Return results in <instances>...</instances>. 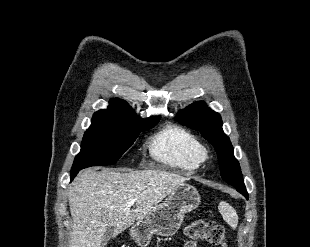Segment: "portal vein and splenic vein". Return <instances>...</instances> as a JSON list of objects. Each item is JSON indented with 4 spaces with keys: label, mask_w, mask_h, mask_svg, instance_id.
Wrapping results in <instances>:
<instances>
[{
    "label": "portal vein and splenic vein",
    "mask_w": 310,
    "mask_h": 247,
    "mask_svg": "<svg viewBox=\"0 0 310 247\" xmlns=\"http://www.w3.org/2000/svg\"><path fill=\"white\" fill-rule=\"evenodd\" d=\"M134 203H135V200L133 198H131V199H129L127 205L132 206V205H134Z\"/></svg>",
    "instance_id": "18ae733b"
}]
</instances>
